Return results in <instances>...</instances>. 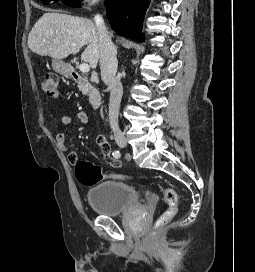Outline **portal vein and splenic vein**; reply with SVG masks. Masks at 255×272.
I'll return each mask as SVG.
<instances>
[{"instance_id":"portal-vein-and-splenic-vein-1","label":"portal vein and splenic vein","mask_w":255,"mask_h":272,"mask_svg":"<svg viewBox=\"0 0 255 272\" xmlns=\"http://www.w3.org/2000/svg\"><path fill=\"white\" fill-rule=\"evenodd\" d=\"M72 46H75V44L73 43ZM79 69L81 72L87 73L90 71V66L87 63H82L80 64Z\"/></svg>"}]
</instances>
